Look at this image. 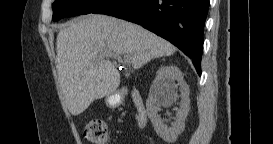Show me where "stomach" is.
Instances as JSON below:
<instances>
[{
	"label": "stomach",
	"mask_w": 273,
	"mask_h": 144,
	"mask_svg": "<svg viewBox=\"0 0 273 144\" xmlns=\"http://www.w3.org/2000/svg\"><path fill=\"white\" fill-rule=\"evenodd\" d=\"M105 102L110 108H116L122 103V96L119 92H114L106 96Z\"/></svg>",
	"instance_id": "stomach-1"
}]
</instances>
